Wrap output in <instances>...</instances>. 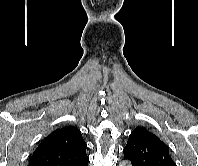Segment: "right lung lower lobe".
Listing matches in <instances>:
<instances>
[{
	"label": "right lung lower lobe",
	"instance_id": "right-lung-lower-lobe-1",
	"mask_svg": "<svg viewBox=\"0 0 198 166\" xmlns=\"http://www.w3.org/2000/svg\"><path fill=\"white\" fill-rule=\"evenodd\" d=\"M87 165H88V163L84 164L83 166H87Z\"/></svg>",
	"mask_w": 198,
	"mask_h": 166
}]
</instances>
